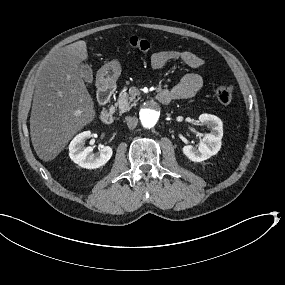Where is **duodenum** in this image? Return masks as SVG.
I'll return each instance as SVG.
<instances>
[{"label": "duodenum", "instance_id": "1", "mask_svg": "<svg viewBox=\"0 0 285 285\" xmlns=\"http://www.w3.org/2000/svg\"><path fill=\"white\" fill-rule=\"evenodd\" d=\"M114 91V84L110 81H101L98 88V100L103 109L100 113V119L103 123L110 124L113 121L114 111L109 107V102ZM159 100L168 103L172 100L171 94L167 90H161L158 93Z\"/></svg>", "mask_w": 285, "mask_h": 285}]
</instances>
